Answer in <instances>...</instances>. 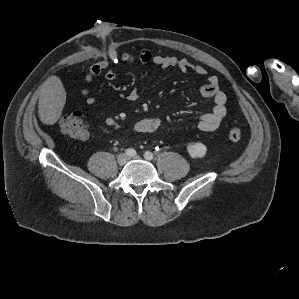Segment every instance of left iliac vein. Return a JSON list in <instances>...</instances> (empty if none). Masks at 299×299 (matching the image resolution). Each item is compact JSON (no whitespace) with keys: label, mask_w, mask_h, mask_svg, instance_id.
<instances>
[{"label":"left iliac vein","mask_w":299,"mask_h":299,"mask_svg":"<svg viewBox=\"0 0 299 299\" xmlns=\"http://www.w3.org/2000/svg\"><path fill=\"white\" fill-rule=\"evenodd\" d=\"M133 159H140V157L139 156H134Z\"/></svg>","instance_id":"left-iliac-vein-1"}]
</instances>
